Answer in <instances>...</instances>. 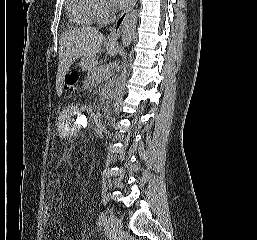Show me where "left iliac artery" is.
<instances>
[{"mask_svg":"<svg viewBox=\"0 0 257 240\" xmlns=\"http://www.w3.org/2000/svg\"><path fill=\"white\" fill-rule=\"evenodd\" d=\"M106 221V214L104 212H101L99 219H98V225L104 224Z\"/></svg>","mask_w":257,"mask_h":240,"instance_id":"obj_1","label":"left iliac artery"}]
</instances>
